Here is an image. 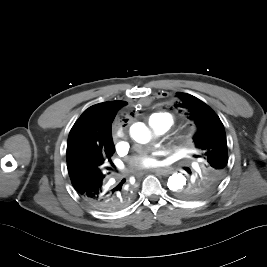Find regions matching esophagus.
Wrapping results in <instances>:
<instances>
[{"instance_id":"34e87169","label":"esophagus","mask_w":267,"mask_h":267,"mask_svg":"<svg viewBox=\"0 0 267 267\" xmlns=\"http://www.w3.org/2000/svg\"><path fill=\"white\" fill-rule=\"evenodd\" d=\"M152 172L162 176H167L172 173L171 169L168 168H156Z\"/></svg>"}]
</instances>
